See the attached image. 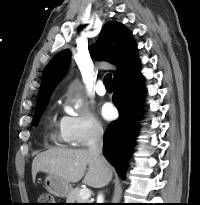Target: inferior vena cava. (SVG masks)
I'll use <instances>...</instances> for the list:
<instances>
[{
	"label": "inferior vena cava",
	"mask_w": 200,
	"mask_h": 205,
	"mask_svg": "<svg viewBox=\"0 0 200 205\" xmlns=\"http://www.w3.org/2000/svg\"><path fill=\"white\" fill-rule=\"evenodd\" d=\"M88 152L96 157H102L103 152V128L99 124H94L88 140ZM98 200L103 201V195H98Z\"/></svg>",
	"instance_id": "obj_1"
}]
</instances>
